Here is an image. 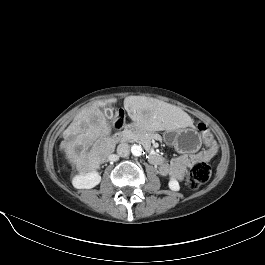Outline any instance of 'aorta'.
<instances>
[{
  "label": "aorta",
  "mask_w": 265,
  "mask_h": 265,
  "mask_svg": "<svg viewBox=\"0 0 265 265\" xmlns=\"http://www.w3.org/2000/svg\"><path fill=\"white\" fill-rule=\"evenodd\" d=\"M142 151H143V149H142L141 145L134 144L131 146V152L134 156H137V157L141 156Z\"/></svg>",
  "instance_id": "762f6f07"
}]
</instances>
